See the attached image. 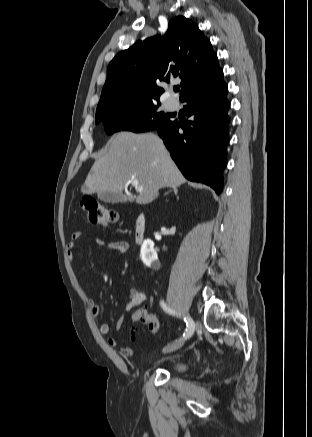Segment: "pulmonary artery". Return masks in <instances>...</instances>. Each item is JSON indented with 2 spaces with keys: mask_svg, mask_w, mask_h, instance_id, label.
<instances>
[{
  "mask_svg": "<svg viewBox=\"0 0 312 437\" xmlns=\"http://www.w3.org/2000/svg\"><path fill=\"white\" fill-rule=\"evenodd\" d=\"M169 107H170L171 109H174V108L176 107V105H175V103H170V104H169Z\"/></svg>",
  "mask_w": 312,
  "mask_h": 437,
  "instance_id": "1",
  "label": "pulmonary artery"
}]
</instances>
